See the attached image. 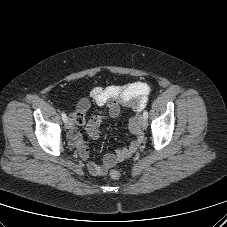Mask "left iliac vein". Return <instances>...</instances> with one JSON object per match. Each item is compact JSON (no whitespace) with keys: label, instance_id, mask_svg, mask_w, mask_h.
<instances>
[{"label":"left iliac vein","instance_id":"left-iliac-vein-1","mask_svg":"<svg viewBox=\"0 0 227 227\" xmlns=\"http://www.w3.org/2000/svg\"><path fill=\"white\" fill-rule=\"evenodd\" d=\"M139 125L142 129H146L147 128V119H145L144 117H140L139 118Z\"/></svg>","mask_w":227,"mask_h":227}]
</instances>
